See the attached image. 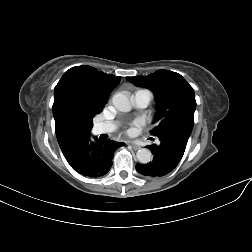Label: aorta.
I'll return each instance as SVG.
<instances>
[{
  "label": "aorta",
  "mask_w": 252,
  "mask_h": 252,
  "mask_svg": "<svg viewBox=\"0 0 252 252\" xmlns=\"http://www.w3.org/2000/svg\"><path fill=\"white\" fill-rule=\"evenodd\" d=\"M113 106L121 112H129L131 110V103L129 98L123 93H116L112 97ZM136 157L142 164H147L152 160V153L147 148H141L137 151Z\"/></svg>",
  "instance_id": "aorta-1"
}]
</instances>
